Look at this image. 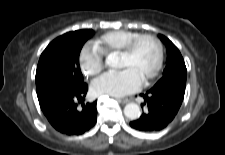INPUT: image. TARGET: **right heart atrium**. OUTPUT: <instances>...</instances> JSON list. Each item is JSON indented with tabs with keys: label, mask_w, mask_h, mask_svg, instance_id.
Returning a JSON list of instances; mask_svg holds the SVG:
<instances>
[{
	"label": "right heart atrium",
	"mask_w": 225,
	"mask_h": 155,
	"mask_svg": "<svg viewBox=\"0 0 225 155\" xmlns=\"http://www.w3.org/2000/svg\"><path fill=\"white\" fill-rule=\"evenodd\" d=\"M79 64L83 74L95 76L103 68V55L94 46L87 44L80 52Z\"/></svg>",
	"instance_id": "right-heart-atrium-1"
}]
</instances>
